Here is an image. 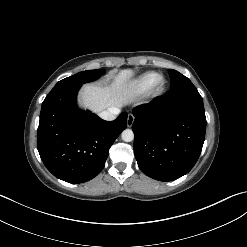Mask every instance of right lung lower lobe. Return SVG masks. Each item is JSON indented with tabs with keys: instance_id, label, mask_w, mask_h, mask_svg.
Masks as SVG:
<instances>
[{
	"instance_id": "obj_1",
	"label": "right lung lower lobe",
	"mask_w": 247,
	"mask_h": 247,
	"mask_svg": "<svg viewBox=\"0 0 247 247\" xmlns=\"http://www.w3.org/2000/svg\"><path fill=\"white\" fill-rule=\"evenodd\" d=\"M81 85H57L42 103L37 148L46 168L69 183H83L104 168L111 145L127 127V113L104 121L91 112H78Z\"/></svg>"
}]
</instances>
